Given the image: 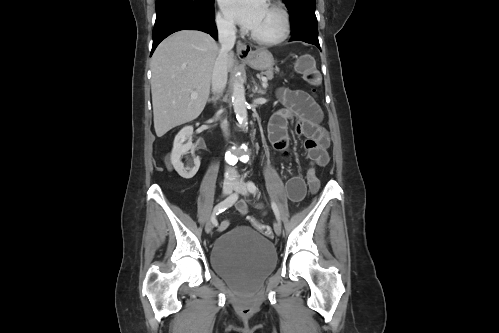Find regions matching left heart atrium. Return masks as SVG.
I'll return each instance as SVG.
<instances>
[{"instance_id": "obj_1", "label": "left heart atrium", "mask_w": 499, "mask_h": 333, "mask_svg": "<svg viewBox=\"0 0 499 333\" xmlns=\"http://www.w3.org/2000/svg\"><path fill=\"white\" fill-rule=\"evenodd\" d=\"M226 16L251 30L267 7L266 0H219Z\"/></svg>"}]
</instances>
